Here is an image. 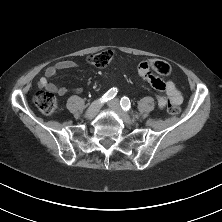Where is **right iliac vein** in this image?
<instances>
[{
	"label": "right iliac vein",
	"mask_w": 222,
	"mask_h": 222,
	"mask_svg": "<svg viewBox=\"0 0 222 222\" xmlns=\"http://www.w3.org/2000/svg\"><path fill=\"white\" fill-rule=\"evenodd\" d=\"M101 106L102 104L100 103V101H94L86 110L85 118L89 120L93 119L100 110Z\"/></svg>",
	"instance_id": "obj_1"
}]
</instances>
